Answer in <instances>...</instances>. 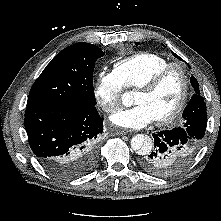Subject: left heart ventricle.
<instances>
[{
  "instance_id": "left-heart-ventricle-1",
  "label": "left heart ventricle",
  "mask_w": 221,
  "mask_h": 221,
  "mask_svg": "<svg viewBox=\"0 0 221 221\" xmlns=\"http://www.w3.org/2000/svg\"><path fill=\"white\" fill-rule=\"evenodd\" d=\"M183 88L180 72L171 70L160 85L152 92L136 91L133 96L135 105H144L152 113L154 119L169 114L177 105Z\"/></svg>"
}]
</instances>
